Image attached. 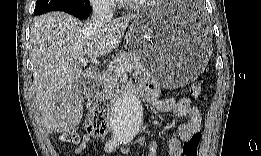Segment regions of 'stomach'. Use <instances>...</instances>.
Returning a JSON list of instances; mask_svg holds the SVG:
<instances>
[{"label": "stomach", "mask_w": 261, "mask_h": 156, "mask_svg": "<svg viewBox=\"0 0 261 156\" xmlns=\"http://www.w3.org/2000/svg\"><path fill=\"white\" fill-rule=\"evenodd\" d=\"M187 1L158 2L132 22L130 44L162 85L181 86L198 77L211 54V38L186 16Z\"/></svg>", "instance_id": "0dacf381"}]
</instances>
